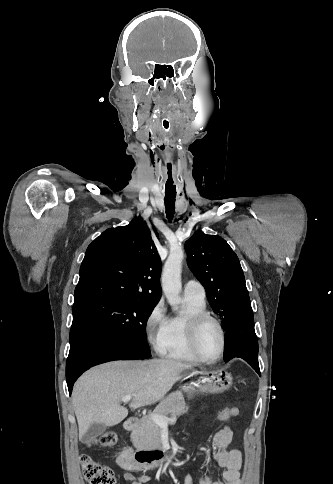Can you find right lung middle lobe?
<instances>
[{"mask_svg":"<svg viewBox=\"0 0 333 484\" xmlns=\"http://www.w3.org/2000/svg\"><path fill=\"white\" fill-rule=\"evenodd\" d=\"M156 304L153 301L96 296L74 304L72 312L88 314L149 358L146 324Z\"/></svg>","mask_w":333,"mask_h":484,"instance_id":"dd1d6c3e","label":"right lung middle lobe"}]
</instances>
